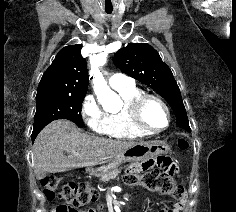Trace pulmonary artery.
Segmentation results:
<instances>
[{"instance_id":"pulmonary-artery-1","label":"pulmonary artery","mask_w":236,"mask_h":212,"mask_svg":"<svg viewBox=\"0 0 236 212\" xmlns=\"http://www.w3.org/2000/svg\"><path fill=\"white\" fill-rule=\"evenodd\" d=\"M132 84V79L121 73H114L109 77V85L113 89L128 87Z\"/></svg>"}]
</instances>
